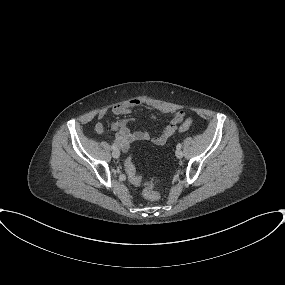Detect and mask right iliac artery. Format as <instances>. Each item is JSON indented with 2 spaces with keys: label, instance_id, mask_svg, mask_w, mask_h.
Returning <instances> with one entry per match:
<instances>
[{
  "label": "right iliac artery",
  "instance_id": "right-iliac-artery-1",
  "mask_svg": "<svg viewBox=\"0 0 285 285\" xmlns=\"http://www.w3.org/2000/svg\"><path fill=\"white\" fill-rule=\"evenodd\" d=\"M111 148H112L113 150H115V149H117V146L113 144V145L111 146Z\"/></svg>",
  "mask_w": 285,
  "mask_h": 285
}]
</instances>
